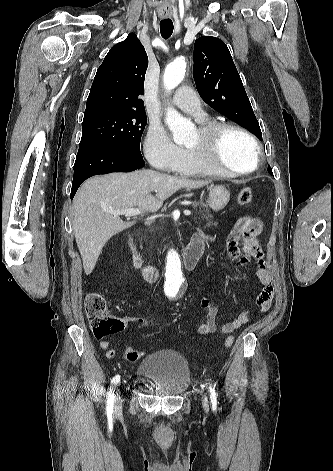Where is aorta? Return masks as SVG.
<instances>
[{
    "label": "aorta",
    "mask_w": 333,
    "mask_h": 471,
    "mask_svg": "<svg viewBox=\"0 0 333 471\" xmlns=\"http://www.w3.org/2000/svg\"><path fill=\"white\" fill-rule=\"evenodd\" d=\"M186 62L183 58H177L169 63L164 71L163 83L166 91L170 93L184 79ZM165 122L173 134L174 142L184 143L188 140L193 130L191 122L182 117L175 109L169 108ZM166 281L165 291L172 295H178L183 291V270L179 254L171 249L166 256Z\"/></svg>",
    "instance_id": "obj_1"
}]
</instances>
